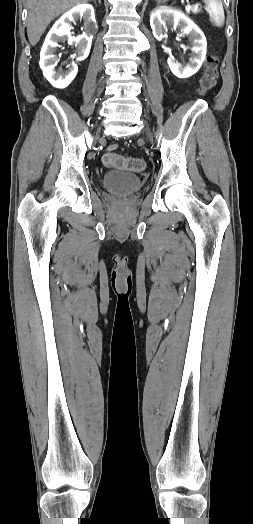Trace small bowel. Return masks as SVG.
I'll list each match as a JSON object with an SVG mask.
<instances>
[{"label": "small bowel", "instance_id": "small-bowel-1", "mask_svg": "<svg viewBox=\"0 0 253 524\" xmlns=\"http://www.w3.org/2000/svg\"><path fill=\"white\" fill-rule=\"evenodd\" d=\"M114 148H115V146L112 145V146H110L108 149H109V150H113Z\"/></svg>", "mask_w": 253, "mask_h": 524}]
</instances>
